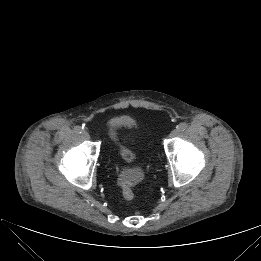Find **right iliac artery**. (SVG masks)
<instances>
[{
	"instance_id": "1",
	"label": "right iliac artery",
	"mask_w": 261,
	"mask_h": 261,
	"mask_svg": "<svg viewBox=\"0 0 261 261\" xmlns=\"http://www.w3.org/2000/svg\"><path fill=\"white\" fill-rule=\"evenodd\" d=\"M74 130H75L76 133H82L83 132V127L75 126Z\"/></svg>"
}]
</instances>
